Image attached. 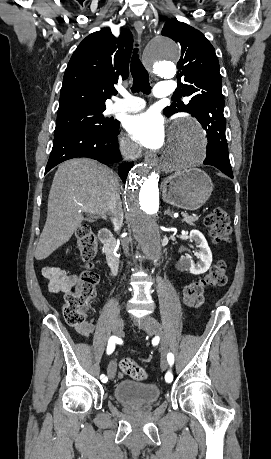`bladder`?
Here are the masks:
<instances>
[{
  "mask_svg": "<svg viewBox=\"0 0 271 459\" xmlns=\"http://www.w3.org/2000/svg\"><path fill=\"white\" fill-rule=\"evenodd\" d=\"M160 394L161 390L156 385L134 381L118 383L113 390L115 402L122 405H150L159 399Z\"/></svg>",
  "mask_w": 271,
  "mask_h": 459,
  "instance_id": "obj_1",
  "label": "bladder"
}]
</instances>
